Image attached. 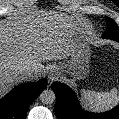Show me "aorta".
<instances>
[{"label":"aorta","instance_id":"aorta-1","mask_svg":"<svg viewBox=\"0 0 119 119\" xmlns=\"http://www.w3.org/2000/svg\"><path fill=\"white\" fill-rule=\"evenodd\" d=\"M56 100V95L54 93L53 90L51 89H46L44 91L41 92L40 94V101L43 103V104H52L54 103Z\"/></svg>","mask_w":119,"mask_h":119}]
</instances>
